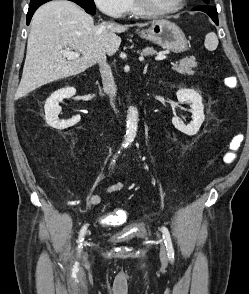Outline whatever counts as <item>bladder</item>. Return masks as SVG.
<instances>
[{"mask_svg":"<svg viewBox=\"0 0 249 294\" xmlns=\"http://www.w3.org/2000/svg\"><path fill=\"white\" fill-rule=\"evenodd\" d=\"M138 227V225H137ZM148 237V233L146 231L138 230V232H127L122 231L117 234H114L110 237L111 241L115 243H126L140 239H146Z\"/></svg>","mask_w":249,"mask_h":294,"instance_id":"31cf9c89","label":"bladder"}]
</instances>
